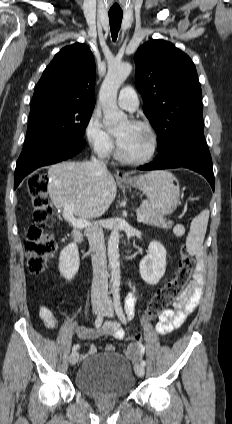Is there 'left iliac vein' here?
<instances>
[{
	"mask_svg": "<svg viewBox=\"0 0 232 424\" xmlns=\"http://www.w3.org/2000/svg\"><path fill=\"white\" fill-rule=\"evenodd\" d=\"M104 315L107 317H112L113 315V303L111 300H107L106 307L104 309ZM135 373L138 377H143L145 373L144 366L141 364L134 365Z\"/></svg>",
	"mask_w": 232,
	"mask_h": 424,
	"instance_id": "4c4485c4",
	"label": "left iliac vein"
}]
</instances>
